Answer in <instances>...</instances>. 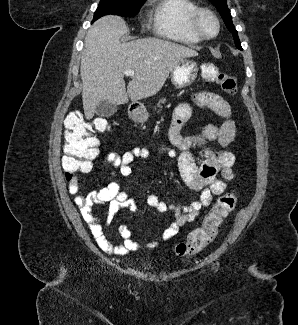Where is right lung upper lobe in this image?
<instances>
[{
	"label": "right lung upper lobe",
	"mask_w": 298,
	"mask_h": 325,
	"mask_svg": "<svg viewBox=\"0 0 298 325\" xmlns=\"http://www.w3.org/2000/svg\"><path fill=\"white\" fill-rule=\"evenodd\" d=\"M137 1H140V2H145V0H137Z\"/></svg>",
	"instance_id": "cb5924a9"
}]
</instances>
